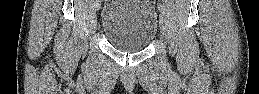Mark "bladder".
I'll use <instances>...</instances> for the list:
<instances>
[{
  "instance_id": "31cf9c89",
  "label": "bladder",
  "mask_w": 259,
  "mask_h": 94,
  "mask_svg": "<svg viewBox=\"0 0 259 94\" xmlns=\"http://www.w3.org/2000/svg\"><path fill=\"white\" fill-rule=\"evenodd\" d=\"M101 30L114 48L142 51L157 35L156 9L149 0H108L102 11Z\"/></svg>"
}]
</instances>
